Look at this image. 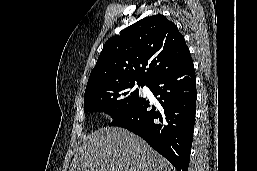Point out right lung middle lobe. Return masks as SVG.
I'll use <instances>...</instances> for the list:
<instances>
[{
  "mask_svg": "<svg viewBox=\"0 0 257 171\" xmlns=\"http://www.w3.org/2000/svg\"><path fill=\"white\" fill-rule=\"evenodd\" d=\"M141 87L147 85L137 82ZM135 82H126L101 87L85 92L84 111H101L115 118L128 110L139 98L138 88L134 89Z\"/></svg>",
  "mask_w": 257,
  "mask_h": 171,
  "instance_id": "1",
  "label": "right lung middle lobe"
}]
</instances>
